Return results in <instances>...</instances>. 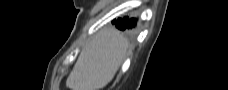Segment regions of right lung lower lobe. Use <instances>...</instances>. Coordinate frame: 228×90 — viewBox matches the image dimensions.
<instances>
[{
  "mask_svg": "<svg viewBox=\"0 0 228 90\" xmlns=\"http://www.w3.org/2000/svg\"><path fill=\"white\" fill-rule=\"evenodd\" d=\"M112 23L115 24V26L122 31H131L133 28H135L137 19L124 17L118 18L117 20H114Z\"/></svg>",
  "mask_w": 228,
  "mask_h": 90,
  "instance_id": "right-lung-lower-lobe-1",
  "label": "right lung lower lobe"
}]
</instances>
